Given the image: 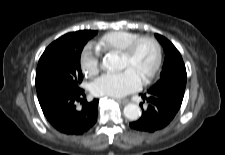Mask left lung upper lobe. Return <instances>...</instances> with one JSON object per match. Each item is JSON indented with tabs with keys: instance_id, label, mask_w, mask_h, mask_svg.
Masks as SVG:
<instances>
[{
	"instance_id": "left-lung-upper-lobe-1",
	"label": "left lung upper lobe",
	"mask_w": 225,
	"mask_h": 155,
	"mask_svg": "<svg viewBox=\"0 0 225 155\" xmlns=\"http://www.w3.org/2000/svg\"><path fill=\"white\" fill-rule=\"evenodd\" d=\"M158 41L164 48L165 60L160 79L153 85L148 92L182 90L186 87V68L179 51L165 37L155 34Z\"/></svg>"
}]
</instances>
